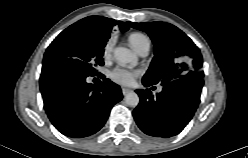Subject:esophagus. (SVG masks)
I'll return each instance as SVG.
<instances>
[{
	"label": "esophagus",
	"mask_w": 248,
	"mask_h": 158,
	"mask_svg": "<svg viewBox=\"0 0 248 158\" xmlns=\"http://www.w3.org/2000/svg\"><path fill=\"white\" fill-rule=\"evenodd\" d=\"M121 90H122V94L124 96L127 95L128 93H130L132 91L131 89L125 88V87H122Z\"/></svg>",
	"instance_id": "esophagus-1"
}]
</instances>
